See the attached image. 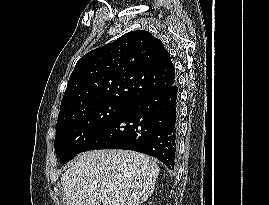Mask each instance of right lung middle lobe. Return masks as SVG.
<instances>
[{"mask_svg":"<svg viewBox=\"0 0 269 205\" xmlns=\"http://www.w3.org/2000/svg\"><path fill=\"white\" fill-rule=\"evenodd\" d=\"M128 105L122 102H102L58 119L54 146L60 163H66L82 152V149Z\"/></svg>","mask_w":269,"mask_h":205,"instance_id":"dd1d6c3e","label":"right lung middle lobe"}]
</instances>
